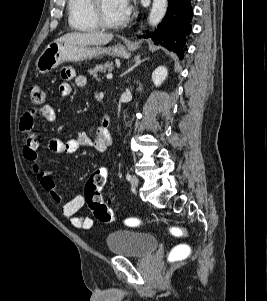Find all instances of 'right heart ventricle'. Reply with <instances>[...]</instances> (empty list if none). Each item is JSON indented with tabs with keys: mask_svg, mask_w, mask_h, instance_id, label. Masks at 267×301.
Returning a JSON list of instances; mask_svg holds the SVG:
<instances>
[{
	"mask_svg": "<svg viewBox=\"0 0 267 301\" xmlns=\"http://www.w3.org/2000/svg\"><path fill=\"white\" fill-rule=\"evenodd\" d=\"M91 4L92 0H68V21L72 29L93 32L100 28L93 18Z\"/></svg>",
	"mask_w": 267,
	"mask_h": 301,
	"instance_id": "1",
	"label": "right heart ventricle"
}]
</instances>
